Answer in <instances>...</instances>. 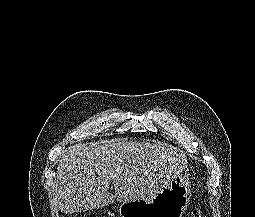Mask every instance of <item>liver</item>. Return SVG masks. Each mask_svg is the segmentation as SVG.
I'll list each match as a JSON object with an SVG mask.
<instances>
[{"label":"liver","mask_w":255,"mask_h":217,"mask_svg":"<svg viewBox=\"0 0 255 217\" xmlns=\"http://www.w3.org/2000/svg\"><path fill=\"white\" fill-rule=\"evenodd\" d=\"M187 167L185 153L141 142H90L70 147L57 167L54 203L65 214L154 196ZM113 182L115 194L109 192Z\"/></svg>","instance_id":"1"}]
</instances>
